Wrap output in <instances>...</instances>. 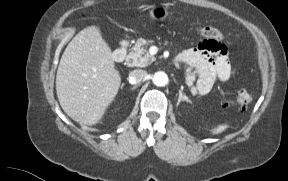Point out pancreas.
<instances>
[{"mask_svg":"<svg viewBox=\"0 0 288 181\" xmlns=\"http://www.w3.org/2000/svg\"><path fill=\"white\" fill-rule=\"evenodd\" d=\"M151 42L150 41H145V40H140L137 43V46L134 48V60L141 65H145L148 63V59L146 57L147 55V48ZM185 72H184V78L186 79V84L189 87V89L192 91V93L195 95L197 94V90L195 86L193 85L194 82V75L191 71V68L188 66H184Z\"/></svg>","mask_w":288,"mask_h":181,"instance_id":"cf45deb5","label":"pancreas"}]
</instances>
